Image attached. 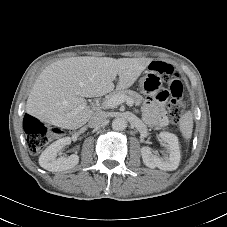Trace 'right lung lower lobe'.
Returning a JSON list of instances; mask_svg holds the SVG:
<instances>
[{
    "label": "right lung lower lobe",
    "instance_id": "1",
    "mask_svg": "<svg viewBox=\"0 0 227 227\" xmlns=\"http://www.w3.org/2000/svg\"><path fill=\"white\" fill-rule=\"evenodd\" d=\"M28 116H29L28 114H26V115H25V117H24V121H25V119H26Z\"/></svg>",
    "mask_w": 227,
    "mask_h": 227
}]
</instances>
